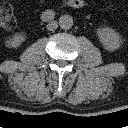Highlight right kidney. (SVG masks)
Instances as JSON below:
<instances>
[{
    "mask_svg": "<svg viewBox=\"0 0 128 128\" xmlns=\"http://www.w3.org/2000/svg\"><path fill=\"white\" fill-rule=\"evenodd\" d=\"M26 40V37L24 34H15L12 38L7 40L6 46L9 48H17L19 47L24 41Z\"/></svg>",
    "mask_w": 128,
    "mask_h": 128,
    "instance_id": "1",
    "label": "right kidney"
}]
</instances>
